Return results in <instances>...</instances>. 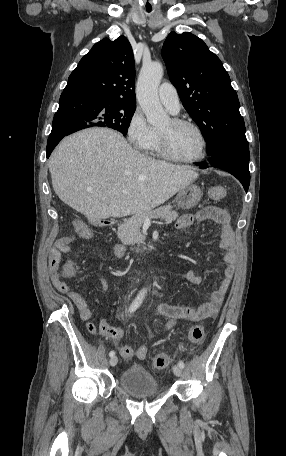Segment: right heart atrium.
<instances>
[{
	"label": "right heart atrium",
	"instance_id": "right-heart-atrium-1",
	"mask_svg": "<svg viewBox=\"0 0 286 456\" xmlns=\"http://www.w3.org/2000/svg\"><path fill=\"white\" fill-rule=\"evenodd\" d=\"M126 136L130 144L139 149H145L154 136V130L149 126L141 109L136 108L126 127Z\"/></svg>",
	"mask_w": 286,
	"mask_h": 456
}]
</instances>
